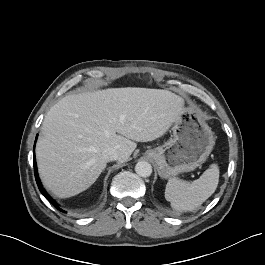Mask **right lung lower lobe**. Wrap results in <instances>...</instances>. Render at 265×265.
<instances>
[{"instance_id":"right-lung-lower-lobe-1","label":"right lung lower lobe","mask_w":265,"mask_h":265,"mask_svg":"<svg viewBox=\"0 0 265 265\" xmlns=\"http://www.w3.org/2000/svg\"><path fill=\"white\" fill-rule=\"evenodd\" d=\"M34 173H35V179H36V182H37V185H38V188L40 190V192L44 195V197L55 207L57 208L58 210L62 211V212H65L64 210H62L59 205L47 194V192L44 190L41 182H40V179L38 177V173H37V167H36V162H35V155H34Z\"/></svg>"}]
</instances>
